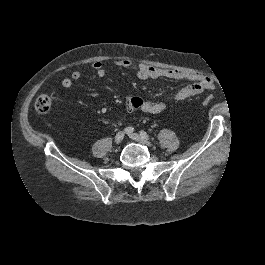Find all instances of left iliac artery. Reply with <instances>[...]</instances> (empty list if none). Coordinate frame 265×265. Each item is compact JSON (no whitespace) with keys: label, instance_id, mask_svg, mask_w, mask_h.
<instances>
[{"label":"left iliac artery","instance_id":"44dca946","mask_svg":"<svg viewBox=\"0 0 265 265\" xmlns=\"http://www.w3.org/2000/svg\"><path fill=\"white\" fill-rule=\"evenodd\" d=\"M140 135L142 137H149V135L145 131H140Z\"/></svg>","mask_w":265,"mask_h":265}]
</instances>
